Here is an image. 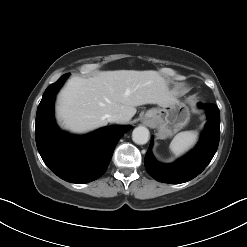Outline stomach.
<instances>
[{
  "mask_svg": "<svg viewBox=\"0 0 247 247\" xmlns=\"http://www.w3.org/2000/svg\"><path fill=\"white\" fill-rule=\"evenodd\" d=\"M144 117L157 128L160 138H167L188 124L189 110L184 104L174 101L148 110Z\"/></svg>",
  "mask_w": 247,
  "mask_h": 247,
  "instance_id": "obj_1",
  "label": "stomach"
}]
</instances>
